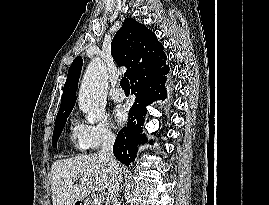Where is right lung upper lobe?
I'll list each match as a JSON object with an SVG mask.
<instances>
[{
	"label": "right lung upper lobe",
	"instance_id": "cb5924a9",
	"mask_svg": "<svg viewBox=\"0 0 269 205\" xmlns=\"http://www.w3.org/2000/svg\"><path fill=\"white\" fill-rule=\"evenodd\" d=\"M111 53L119 66L127 67L124 75L130 79L131 86L151 79H166L165 75L169 72L163 45L152 31L132 18H126L115 34ZM81 69L82 58L78 56L68 70L56 119L71 113L76 102Z\"/></svg>",
	"mask_w": 269,
	"mask_h": 205
}]
</instances>
